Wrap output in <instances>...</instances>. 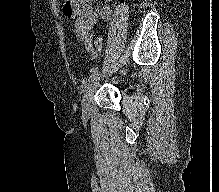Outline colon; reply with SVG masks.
I'll return each mask as SVG.
<instances>
[{
  "label": "colon",
  "mask_w": 219,
  "mask_h": 192,
  "mask_svg": "<svg viewBox=\"0 0 219 192\" xmlns=\"http://www.w3.org/2000/svg\"><path fill=\"white\" fill-rule=\"evenodd\" d=\"M102 50V40L100 37L95 36L91 42V52L98 53Z\"/></svg>",
  "instance_id": "5ec220e1"
}]
</instances>
